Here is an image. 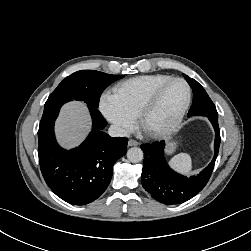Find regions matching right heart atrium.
<instances>
[{
  "label": "right heart atrium",
  "instance_id": "right-heart-atrium-1",
  "mask_svg": "<svg viewBox=\"0 0 251 251\" xmlns=\"http://www.w3.org/2000/svg\"><path fill=\"white\" fill-rule=\"evenodd\" d=\"M99 109L120 133L127 134L135 128L136 116L120 102L115 93L104 92L99 99Z\"/></svg>",
  "mask_w": 251,
  "mask_h": 251
}]
</instances>
